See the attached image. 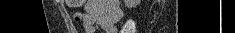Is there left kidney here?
I'll list each match as a JSON object with an SVG mask.
<instances>
[{
	"label": "left kidney",
	"mask_w": 235,
	"mask_h": 33,
	"mask_svg": "<svg viewBox=\"0 0 235 33\" xmlns=\"http://www.w3.org/2000/svg\"><path fill=\"white\" fill-rule=\"evenodd\" d=\"M125 6L128 8H134L140 4V0H124Z\"/></svg>",
	"instance_id": "5707ae66"
}]
</instances>
